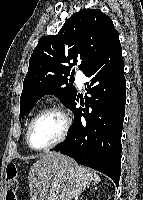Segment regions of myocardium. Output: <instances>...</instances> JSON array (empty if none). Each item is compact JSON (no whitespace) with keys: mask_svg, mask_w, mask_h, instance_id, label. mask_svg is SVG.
Wrapping results in <instances>:
<instances>
[{"mask_svg":"<svg viewBox=\"0 0 143 200\" xmlns=\"http://www.w3.org/2000/svg\"><path fill=\"white\" fill-rule=\"evenodd\" d=\"M49 113H58L62 116V118L64 119V123H65L63 132H62L61 136L56 141L52 142L51 144L44 146V147H40V148L34 147L30 140V134H31L32 127L38 119H40L42 116L49 114ZM71 127H72V118L65 108L58 106V105L47 107V108L43 109L42 111H40L37 115H35L32 118V120L30 121V123L27 127V131H26L27 145L30 149H32L34 151L49 150L65 141V139L68 137V135L70 133Z\"/></svg>","mask_w":143,"mask_h":200,"instance_id":"1","label":"myocardium"}]
</instances>
